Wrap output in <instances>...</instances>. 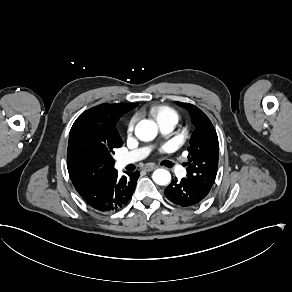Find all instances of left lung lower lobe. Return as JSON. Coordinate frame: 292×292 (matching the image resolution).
<instances>
[{
  "instance_id": "0a47b994",
  "label": "left lung lower lobe",
  "mask_w": 292,
  "mask_h": 292,
  "mask_svg": "<svg viewBox=\"0 0 292 292\" xmlns=\"http://www.w3.org/2000/svg\"><path fill=\"white\" fill-rule=\"evenodd\" d=\"M210 190L189 183L184 178L178 181L176 178L168 185L164 194L168 200L181 207H190L200 203Z\"/></svg>"
}]
</instances>
